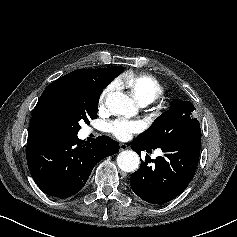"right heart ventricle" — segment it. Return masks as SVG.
<instances>
[{"label": "right heart ventricle", "mask_w": 237, "mask_h": 237, "mask_svg": "<svg viewBox=\"0 0 237 237\" xmlns=\"http://www.w3.org/2000/svg\"><path fill=\"white\" fill-rule=\"evenodd\" d=\"M117 84L130 90L132 96L142 105H147L163 93L162 84L148 74H125Z\"/></svg>", "instance_id": "obj_1"}]
</instances>
